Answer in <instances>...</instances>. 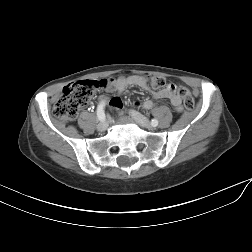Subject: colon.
<instances>
[{
    "label": "colon",
    "instance_id": "obj_1",
    "mask_svg": "<svg viewBox=\"0 0 252 252\" xmlns=\"http://www.w3.org/2000/svg\"><path fill=\"white\" fill-rule=\"evenodd\" d=\"M149 83L154 89L176 90L173 83L167 82L165 78L160 76L149 78ZM107 84L108 80H82L67 85L54 105V115L64 121L74 119L79 111L89 104L94 95ZM178 94L182 97L185 108L192 110L195 106V100L191 92L186 87H180Z\"/></svg>",
    "mask_w": 252,
    "mask_h": 252
}]
</instances>
